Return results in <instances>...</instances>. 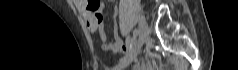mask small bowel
I'll list each match as a JSON object with an SVG mask.
<instances>
[{
  "label": "small bowel",
  "mask_w": 238,
  "mask_h": 70,
  "mask_svg": "<svg viewBox=\"0 0 238 70\" xmlns=\"http://www.w3.org/2000/svg\"><path fill=\"white\" fill-rule=\"evenodd\" d=\"M76 6L81 13L87 29L91 33L98 34L101 40V46L106 51L113 53L129 54L133 49V41L131 39L122 40L118 33V26L116 16L114 17V41L109 43L107 41V35L103 28L102 18V3L99 0H76ZM147 64L144 63L141 66V70H145Z\"/></svg>",
  "instance_id": "small-bowel-1"
}]
</instances>
